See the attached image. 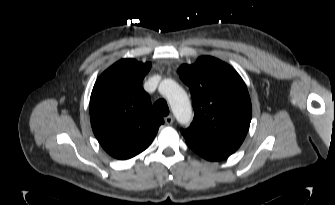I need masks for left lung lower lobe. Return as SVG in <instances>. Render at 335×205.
<instances>
[{
	"mask_svg": "<svg viewBox=\"0 0 335 205\" xmlns=\"http://www.w3.org/2000/svg\"><path fill=\"white\" fill-rule=\"evenodd\" d=\"M188 146L195 151L197 154H199L201 157L209 160V161H220L223 159H226L228 156H230L232 153L223 152V151H213L206 149L204 147H201L197 144L191 143L186 141Z\"/></svg>",
	"mask_w": 335,
	"mask_h": 205,
	"instance_id": "1",
	"label": "left lung lower lobe"
}]
</instances>
